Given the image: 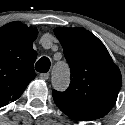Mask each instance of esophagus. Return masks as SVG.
Returning <instances> with one entry per match:
<instances>
[{
  "mask_svg": "<svg viewBox=\"0 0 125 125\" xmlns=\"http://www.w3.org/2000/svg\"><path fill=\"white\" fill-rule=\"evenodd\" d=\"M49 73H42L39 75V78L42 79V80H47L49 79Z\"/></svg>",
  "mask_w": 125,
  "mask_h": 125,
  "instance_id": "esophagus-1",
  "label": "esophagus"
}]
</instances>
